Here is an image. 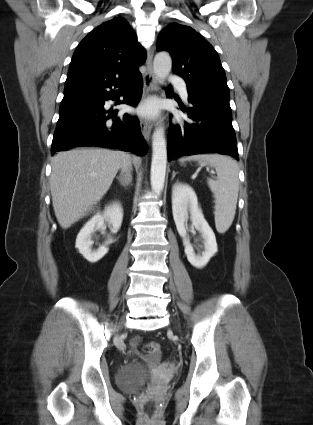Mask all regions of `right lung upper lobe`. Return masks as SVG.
<instances>
[{
  "instance_id": "obj_1",
  "label": "right lung upper lobe",
  "mask_w": 313,
  "mask_h": 425,
  "mask_svg": "<svg viewBox=\"0 0 313 425\" xmlns=\"http://www.w3.org/2000/svg\"><path fill=\"white\" fill-rule=\"evenodd\" d=\"M146 60L136 34L121 16L93 29L77 46L67 80L127 76ZM66 80V81H67Z\"/></svg>"
}]
</instances>
